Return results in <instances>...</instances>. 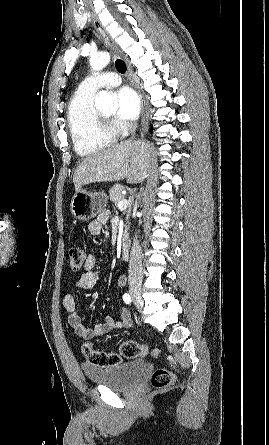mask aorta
<instances>
[{"instance_id": "1", "label": "aorta", "mask_w": 269, "mask_h": 445, "mask_svg": "<svg viewBox=\"0 0 269 445\" xmlns=\"http://www.w3.org/2000/svg\"><path fill=\"white\" fill-rule=\"evenodd\" d=\"M89 62L93 70L99 71L108 65L110 55L105 52L92 54ZM95 107L103 111L116 110L118 107L117 98L108 91H100L95 99Z\"/></svg>"}]
</instances>
